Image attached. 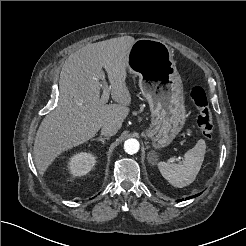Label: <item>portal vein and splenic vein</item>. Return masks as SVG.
<instances>
[{"instance_id": "obj_1", "label": "portal vein and splenic vein", "mask_w": 246, "mask_h": 246, "mask_svg": "<svg viewBox=\"0 0 246 246\" xmlns=\"http://www.w3.org/2000/svg\"><path fill=\"white\" fill-rule=\"evenodd\" d=\"M110 90H111L110 86H108V84L105 82L103 86V94L101 96V102L103 104L108 102Z\"/></svg>"}]
</instances>
